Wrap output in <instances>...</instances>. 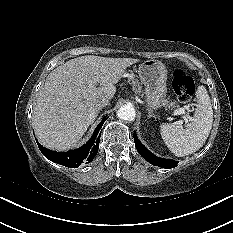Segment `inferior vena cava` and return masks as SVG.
I'll use <instances>...</instances> for the list:
<instances>
[{
	"mask_svg": "<svg viewBox=\"0 0 233 233\" xmlns=\"http://www.w3.org/2000/svg\"><path fill=\"white\" fill-rule=\"evenodd\" d=\"M109 104V99L108 98H102L98 101V106L100 108L105 107Z\"/></svg>",
	"mask_w": 233,
	"mask_h": 233,
	"instance_id": "1",
	"label": "inferior vena cava"
}]
</instances>
